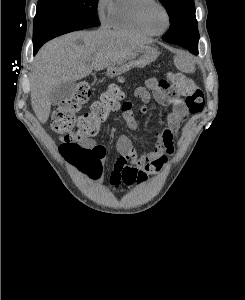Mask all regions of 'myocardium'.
I'll list each match as a JSON object with an SVG mask.
<instances>
[{
	"label": "myocardium",
	"mask_w": 245,
	"mask_h": 300,
	"mask_svg": "<svg viewBox=\"0 0 245 300\" xmlns=\"http://www.w3.org/2000/svg\"><path fill=\"white\" fill-rule=\"evenodd\" d=\"M150 6L158 7L164 14L165 25L161 29H153L149 26L146 19V12ZM137 20L140 26L150 35H158L166 31L170 26V14L167 8L158 0H141L137 8Z\"/></svg>",
	"instance_id": "f54148a6"
}]
</instances>
